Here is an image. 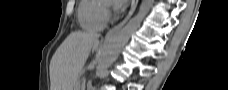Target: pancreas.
I'll use <instances>...</instances> for the list:
<instances>
[{"label":"pancreas","mask_w":228,"mask_h":90,"mask_svg":"<svg viewBox=\"0 0 228 90\" xmlns=\"http://www.w3.org/2000/svg\"><path fill=\"white\" fill-rule=\"evenodd\" d=\"M79 87V81L77 82V88Z\"/></svg>","instance_id":"pancreas-1"}]
</instances>
